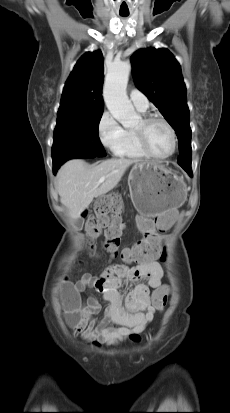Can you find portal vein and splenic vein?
I'll list each match as a JSON object with an SVG mask.
<instances>
[{"label":"portal vein and splenic vein","mask_w":230,"mask_h":413,"mask_svg":"<svg viewBox=\"0 0 230 413\" xmlns=\"http://www.w3.org/2000/svg\"><path fill=\"white\" fill-rule=\"evenodd\" d=\"M104 181H105V177H102V178L99 179L98 184H101V183H103Z\"/></svg>","instance_id":"18ae733b"}]
</instances>
